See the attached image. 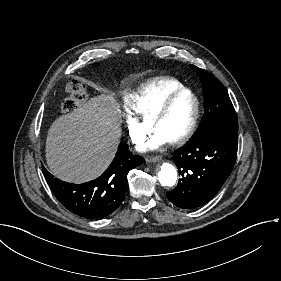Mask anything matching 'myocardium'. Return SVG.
<instances>
[{
  "mask_svg": "<svg viewBox=\"0 0 281 281\" xmlns=\"http://www.w3.org/2000/svg\"><path fill=\"white\" fill-rule=\"evenodd\" d=\"M186 94L190 95L194 99V103H195L194 111L189 120L187 127L183 130V132L180 135H178L176 138L168 141V144L172 146L180 145L183 144L185 141H187L192 136L197 126L199 114H200V101L197 95L192 90L188 88H184L170 95L157 107V109L150 115V117L146 121L148 130L154 132V128L156 124L166 113V111L171 106V104L179 97Z\"/></svg>",
  "mask_w": 281,
  "mask_h": 281,
  "instance_id": "1",
  "label": "myocardium"
}]
</instances>
